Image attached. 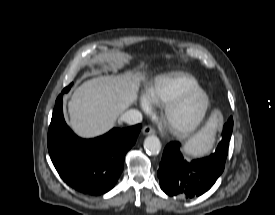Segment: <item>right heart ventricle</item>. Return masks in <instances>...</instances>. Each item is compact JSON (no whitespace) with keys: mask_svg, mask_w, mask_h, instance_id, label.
<instances>
[{"mask_svg":"<svg viewBox=\"0 0 275 215\" xmlns=\"http://www.w3.org/2000/svg\"><path fill=\"white\" fill-rule=\"evenodd\" d=\"M199 87L195 77L185 72H172L156 79L149 90V100L157 105H166L180 93Z\"/></svg>","mask_w":275,"mask_h":215,"instance_id":"right-heart-ventricle-1","label":"right heart ventricle"}]
</instances>
